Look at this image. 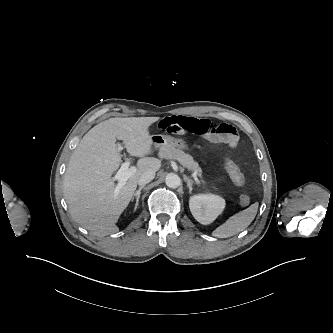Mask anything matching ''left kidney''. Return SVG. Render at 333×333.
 Wrapping results in <instances>:
<instances>
[{
	"mask_svg": "<svg viewBox=\"0 0 333 333\" xmlns=\"http://www.w3.org/2000/svg\"><path fill=\"white\" fill-rule=\"evenodd\" d=\"M190 211L201 224L212 223L225 207V200L214 194H198L190 198Z\"/></svg>",
	"mask_w": 333,
	"mask_h": 333,
	"instance_id": "1",
	"label": "left kidney"
}]
</instances>
